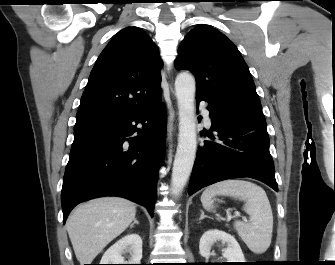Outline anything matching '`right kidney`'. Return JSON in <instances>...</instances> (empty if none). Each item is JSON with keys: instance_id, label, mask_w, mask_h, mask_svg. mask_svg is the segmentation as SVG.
Wrapping results in <instances>:
<instances>
[{"instance_id": "right-kidney-1", "label": "right kidney", "mask_w": 335, "mask_h": 265, "mask_svg": "<svg viewBox=\"0 0 335 265\" xmlns=\"http://www.w3.org/2000/svg\"><path fill=\"white\" fill-rule=\"evenodd\" d=\"M130 253L129 262L122 254ZM142 259V239L138 234H128L113 244L102 256L100 264H140Z\"/></svg>"}]
</instances>
